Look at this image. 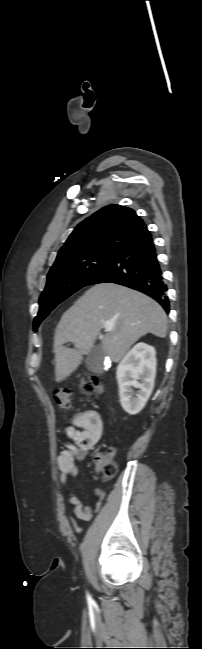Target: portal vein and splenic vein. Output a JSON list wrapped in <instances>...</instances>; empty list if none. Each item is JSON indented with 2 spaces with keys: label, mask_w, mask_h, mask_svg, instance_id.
I'll list each match as a JSON object with an SVG mask.
<instances>
[{
  "label": "portal vein and splenic vein",
  "mask_w": 202,
  "mask_h": 649,
  "mask_svg": "<svg viewBox=\"0 0 202 649\" xmlns=\"http://www.w3.org/2000/svg\"><path fill=\"white\" fill-rule=\"evenodd\" d=\"M110 329H111V325L107 324L106 325V330H110Z\"/></svg>",
  "instance_id": "obj_1"
}]
</instances>
